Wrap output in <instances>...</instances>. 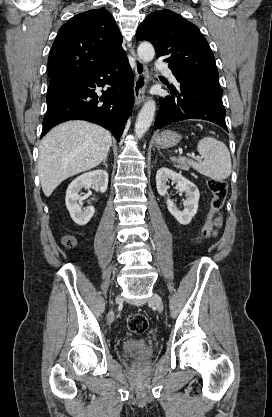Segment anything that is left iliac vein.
<instances>
[{"mask_svg": "<svg viewBox=\"0 0 272 417\" xmlns=\"http://www.w3.org/2000/svg\"><path fill=\"white\" fill-rule=\"evenodd\" d=\"M149 302L151 304L155 305L159 312L163 311V302H162L161 297L157 293L153 294V296L150 298Z\"/></svg>", "mask_w": 272, "mask_h": 417, "instance_id": "left-iliac-vein-1", "label": "left iliac vein"}]
</instances>
